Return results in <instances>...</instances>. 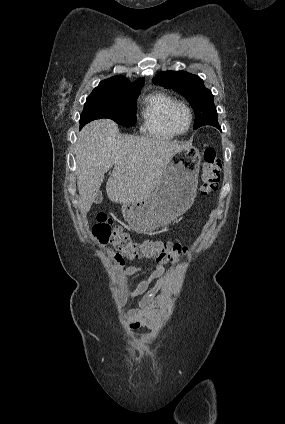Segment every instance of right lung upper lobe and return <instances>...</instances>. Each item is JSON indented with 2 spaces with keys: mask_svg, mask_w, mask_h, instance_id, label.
<instances>
[{
  "mask_svg": "<svg viewBox=\"0 0 285 424\" xmlns=\"http://www.w3.org/2000/svg\"><path fill=\"white\" fill-rule=\"evenodd\" d=\"M144 79H139L135 83L130 82L126 77L122 75L113 76L105 79L99 83V85L93 91L107 90V89H118V88H134L143 86Z\"/></svg>",
  "mask_w": 285,
  "mask_h": 424,
  "instance_id": "1",
  "label": "right lung upper lobe"
}]
</instances>
